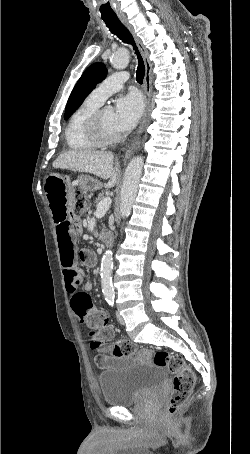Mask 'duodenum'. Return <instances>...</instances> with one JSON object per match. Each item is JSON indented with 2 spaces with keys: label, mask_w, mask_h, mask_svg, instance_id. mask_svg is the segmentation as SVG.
I'll list each match as a JSON object with an SVG mask.
<instances>
[{
  "label": "duodenum",
  "mask_w": 250,
  "mask_h": 454,
  "mask_svg": "<svg viewBox=\"0 0 250 454\" xmlns=\"http://www.w3.org/2000/svg\"><path fill=\"white\" fill-rule=\"evenodd\" d=\"M102 242L106 246H110L113 243V234L109 231L102 232Z\"/></svg>",
  "instance_id": "duodenum-1"
}]
</instances>
